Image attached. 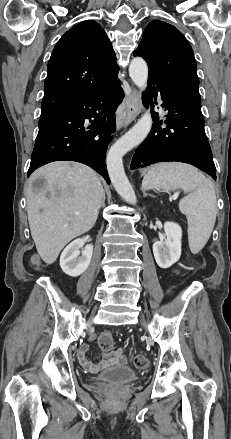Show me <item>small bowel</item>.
<instances>
[{"label":"small bowel","instance_id":"c3829d8e","mask_svg":"<svg viewBox=\"0 0 231 439\" xmlns=\"http://www.w3.org/2000/svg\"><path fill=\"white\" fill-rule=\"evenodd\" d=\"M96 336H92L90 340H94ZM89 349L88 344H84L78 351V360L83 368L89 372H97L101 369L109 366L123 364L125 362V356L122 349H118L110 354H104L97 364H94L87 358V351Z\"/></svg>","mask_w":231,"mask_h":439}]
</instances>
